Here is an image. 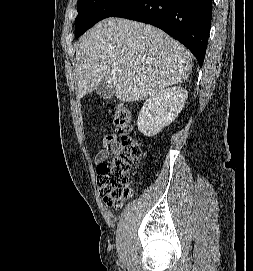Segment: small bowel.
I'll return each instance as SVG.
<instances>
[{
  "mask_svg": "<svg viewBox=\"0 0 253 271\" xmlns=\"http://www.w3.org/2000/svg\"><path fill=\"white\" fill-rule=\"evenodd\" d=\"M104 149L101 150L96 156V162H99L108 153H116L121 150V145L117 141V137L114 134L106 135L103 138Z\"/></svg>",
  "mask_w": 253,
  "mask_h": 271,
  "instance_id": "1",
  "label": "small bowel"
}]
</instances>
